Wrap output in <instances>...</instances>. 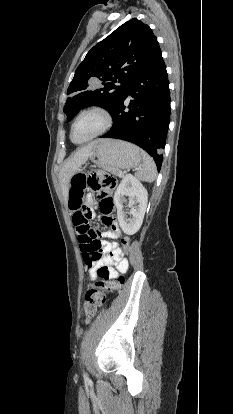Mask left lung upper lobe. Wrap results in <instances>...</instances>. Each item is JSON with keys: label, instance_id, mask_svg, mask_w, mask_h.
<instances>
[{"label": "left lung upper lobe", "instance_id": "left-lung-upper-lobe-1", "mask_svg": "<svg viewBox=\"0 0 233 414\" xmlns=\"http://www.w3.org/2000/svg\"><path fill=\"white\" fill-rule=\"evenodd\" d=\"M160 51L150 27L133 18L95 45L77 67L69 85L64 112L67 120L82 108L98 105L111 114L132 80ZM98 84L95 85L94 83ZM121 83V86L115 83Z\"/></svg>", "mask_w": 233, "mask_h": 414}]
</instances>
